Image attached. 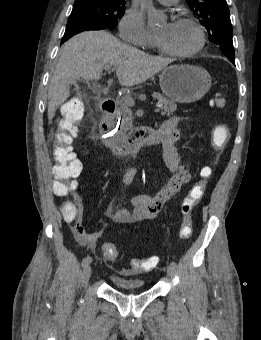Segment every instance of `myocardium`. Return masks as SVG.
Listing matches in <instances>:
<instances>
[{
    "mask_svg": "<svg viewBox=\"0 0 261 340\" xmlns=\"http://www.w3.org/2000/svg\"><path fill=\"white\" fill-rule=\"evenodd\" d=\"M177 22L188 24L194 28L198 36L197 45L193 49L189 51H185V52L172 51V50L167 49L162 44V42L159 40L157 36H156V45L162 53L170 55V56L179 57V58L193 57L194 55L198 54L205 46L206 37H205L204 30L196 20L189 18V17H181L177 20Z\"/></svg>",
    "mask_w": 261,
    "mask_h": 340,
    "instance_id": "obj_1",
    "label": "myocardium"
}]
</instances>
